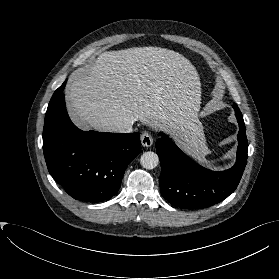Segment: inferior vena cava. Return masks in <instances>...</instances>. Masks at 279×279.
Returning <instances> with one entry per match:
<instances>
[{"label":"inferior vena cava","mask_w":279,"mask_h":279,"mask_svg":"<svg viewBox=\"0 0 279 279\" xmlns=\"http://www.w3.org/2000/svg\"><path fill=\"white\" fill-rule=\"evenodd\" d=\"M119 132H121V133H130V132H132V126H127L125 128H122V129L119 130Z\"/></svg>","instance_id":"obj_1"}]
</instances>
